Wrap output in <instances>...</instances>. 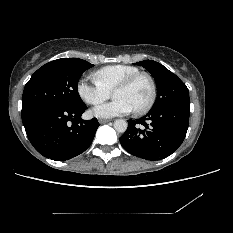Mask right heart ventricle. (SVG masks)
I'll list each match as a JSON object with an SVG mask.
<instances>
[{"label":"right heart ventricle","mask_w":233,"mask_h":233,"mask_svg":"<svg viewBox=\"0 0 233 233\" xmlns=\"http://www.w3.org/2000/svg\"><path fill=\"white\" fill-rule=\"evenodd\" d=\"M137 72H139V69L135 66L109 65L94 72L93 79L111 92L119 82Z\"/></svg>","instance_id":"right-heart-ventricle-1"}]
</instances>
